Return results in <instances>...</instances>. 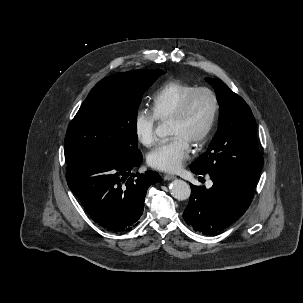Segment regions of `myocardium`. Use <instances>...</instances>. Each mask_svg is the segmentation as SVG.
I'll return each mask as SVG.
<instances>
[{"label":"myocardium","mask_w":303,"mask_h":303,"mask_svg":"<svg viewBox=\"0 0 303 303\" xmlns=\"http://www.w3.org/2000/svg\"><path fill=\"white\" fill-rule=\"evenodd\" d=\"M199 93L208 94L212 99L213 107H212V112H211L210 118L208 120V123H207L205 129L194 142V145L197 147L203 145L206 142V140L208 139L209 135L211 134V132L215 126V123L217 121V118H218L219 108H220L219 99H218L216 93L212 89H210L208 87H196L183 99L180 106L178 107L176 112L172 115V117L169 120V121L183 120L188 113V110L190 108L192 101Z\"/></svg>","instance_id":"obj_1"}]
</instances>
